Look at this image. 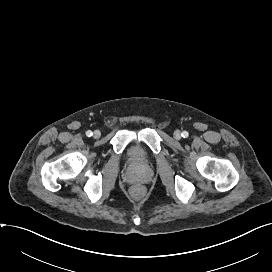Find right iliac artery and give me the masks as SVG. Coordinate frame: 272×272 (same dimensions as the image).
<instances>
[{
  "mask_svg": "<svg viewBox=\"0 0 272 272\" xmlns=\"http://www.w3.org/2000/svg\"><path fill=\"white\" fill-rule=\"evenodd\" d=\"M92 131H90V130H88L87 132H86V135L88 136V137H91L92 136Z\"/></svg>",
  "mask_w": 272,
  "mask_h": 272,
  "instance_id": "obj_1",
  "label": "right iliac artery"
}]
</instances>
